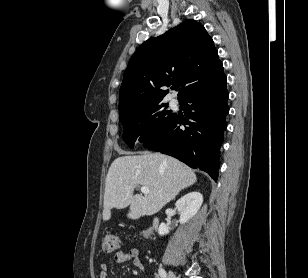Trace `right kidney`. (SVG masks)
I'll return each instance as SVG.
<instances>
[{"label": "right kidney", "instance_id": "right-kidney-1", "mask_svg": "<svg viewBox=\"0 0 308 278\" xmlns=\"http://www.w3.org/2000/svg\"><path fill=\"white\" fill-rule=\"evenodd\" d=\"M203 203V196L199 192H191L181 197L176 202V208L180 213V224H185L194 217ZM168 228L165 223H161L158 229L160 236L167 234Z\"/></svg>", "mask_w": 308, "mask_h": 278}]
</instances>
